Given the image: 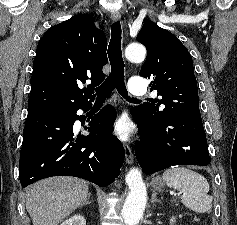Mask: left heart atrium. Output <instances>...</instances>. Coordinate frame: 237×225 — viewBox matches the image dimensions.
<instances>
[{"instance_id":"39dd6f15","label":"left heart atrium","mask_w":237,"mask_h":225,"mask_svg":"<svg viewBox=\"0 0 237 225\" xmlns=\"http://www.w3.org/2000/svg\"><path fill=\"white\" fill-rule=\"evenodd\" d=\"M116 134L122 138L127 139L129 137V122L127 119H121L115 126Z\"/></svg>"}]
</instances>
